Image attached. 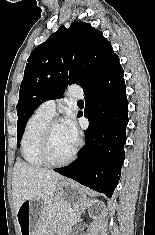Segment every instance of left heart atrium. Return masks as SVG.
I'll return each instance as SVG.
<instances>
[{
	"instance_id": "1",
	"label": "left heart atrium",
	"mask_w": 155,
	"mask_h": 235,
	"mask_svg": "<svg viewBox=\"0 0 155 235\" xmlns=\"http://www.w3.org/2000/svg\"><path fill=\"white\" fill-rule=\"evenodd\" d=\"M63 127L70 139L76 144L79 136V131L72 116L68 115L64 119Z\"/></svg>"
}]
</instances>
